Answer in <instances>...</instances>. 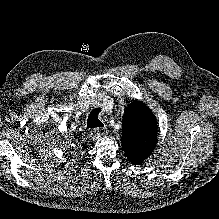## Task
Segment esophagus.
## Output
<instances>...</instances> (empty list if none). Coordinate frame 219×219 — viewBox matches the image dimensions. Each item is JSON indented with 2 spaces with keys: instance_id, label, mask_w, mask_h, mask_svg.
Masks as SVG:
<instances>
[{
  "instance_id": "34e87169",
  "label": "esophagus",
  "mask_w": 219,
  "mask_h": 219,
  "mask_svg": "<svg viewBox=\"0 0 219 219\" xmlns=\"http://www.w3.org/2000/svg\"><path fill=\"white\" fill-rule=\"evenodd\" d=\"M106 131H107V128L106 127H99V128H96L94 130V132L99 135V136H103L106 134Z\"/></svg>"
}]
</instances>
